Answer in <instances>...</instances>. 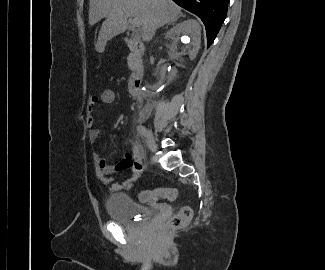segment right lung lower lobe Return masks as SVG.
I'll return each instance as SVG.
<instances>
[{"instance_id":"right-lung-lower-lobe-1","label":"right lung lower lobe","mask_w":325,"mask_h":270,"mask_svg":"<svg viewBox=\"0 0 325 270\" xmlns=\"http://www.w3.org/2000/svg\"><path fill=\"white\" fill-rule=\"evenodd\" d=\"M179 6L197 15L204 23L208 47L213 43L226 18L230 0H173Z\"/></svg>"}]
</instances>
